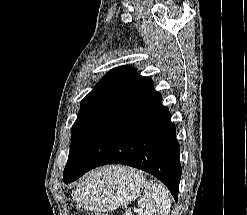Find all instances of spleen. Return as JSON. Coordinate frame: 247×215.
<instances>
[{"label":"spleen","mask_w":247,"mask_h":215,"mask_svg":"<svg viewBox=\"0 0 247 215\" xmlns=\"http://www.w3.org/2000/svg\"><path fill=\"white\" fill-rule=\"evenodd\" d=\"M142 184L145 194L138 200V205L142 209L141 215H168L171 199L167 188L161 184L144 180Z\"/></svg>","instance_id":"1"}]
</instances>
